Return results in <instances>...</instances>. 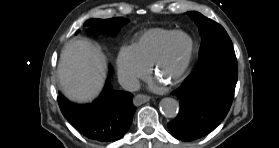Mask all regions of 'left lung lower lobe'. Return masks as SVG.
<instances>
[{
  "mask_svg": "<svg viewBox=\"0 0 279 148\" xmlns=\"http://www.w3.org/2000/svg\"><path fill=\"white\" fill-rule=\"evenodd\" d=\"M238 66L234 49L199 59L196 68L172 94L180 101L170 133L192 141L212 132L226 117L234 97Z\"/></svg>",
  "mask_w": 279,
  "mask_h": 148,
  "instance_id": "left-lung-lower-lobe-1",
  "label": "left lung lower lobe"
}]
</instances>
